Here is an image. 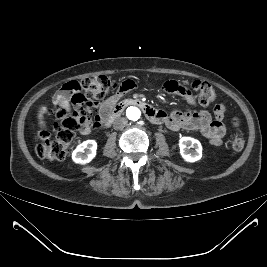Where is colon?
Instances as JSON below:
<instances>
[{"label": "colon", "instance_id": "colon-1", "mask_svg": "<svg viewBox=\"0 0 267 267\" xmlns=\"http://www.w3.org/2000/svg\"><path fill=\"white\" fill-rule=\"evenodd\" d=\"M114 85V81L105 75L85 78L79 84L80 90H82L79 98L88 101H102ZM191 90L196 101L203 106L212 104L218 98V94L213 86L205 81L195 80L191 84ZM46 113L47 107L41 106L38 110L40 128L36 133V153L42 159L60 161L69 154L75 142V132L84 124L90 123L91 121L89 119L78 118L75 115L68 114L62 108H57L54 111L57 120L55 124V136L52 137L44 125ZM232 125L237 129L232 146L236 151H239L245 145L244 136L239 130V119L236 117L233 118Z\"/></svg>", "mask_w": 267, "mask_h": 267}]
</instances>
